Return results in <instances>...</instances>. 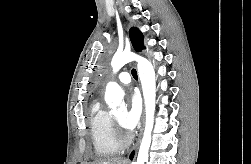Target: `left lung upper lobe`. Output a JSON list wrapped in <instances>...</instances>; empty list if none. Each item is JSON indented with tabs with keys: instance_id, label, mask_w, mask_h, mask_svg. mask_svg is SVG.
Instances as JSON below:
<instances>
[{
	"instance_id": "1",
	"label": "left lung upper lobe",
	"mask_w": 251,
	"mask_h": 164,
	"mask_svg": "<svg viewBox=\"0 0 251 164\" xmlns=\"http://www.w3.org/2000/svg\"><path fill=\"white\" fill-rule=\"evenodd\" d=\"M129 36H130L132 45L136 51L140 52L141 50L145 48L143 44V35L139 31V29L135 27L131 28L129 31Z\"/></svg>"
}]
</instances>
